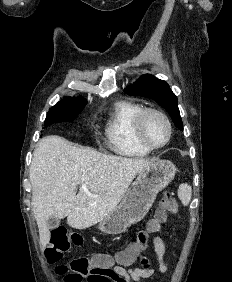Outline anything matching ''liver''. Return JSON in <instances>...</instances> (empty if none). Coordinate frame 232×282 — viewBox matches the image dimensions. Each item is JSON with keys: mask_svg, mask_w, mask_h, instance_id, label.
<instances>
[{"mask_svg": "<svg viewBox=\"0 0 232 282\" xmlns=\"http://www.w3.org/2000/svg\"><path fill=\"white\" fill-rule=\"evenodd\" d=\"M153 161L102 154L72 146L52 135L41 139L30 166L32 207L40 243L50 240L47 220L67 217V224L85 229L117 207L134 178ZM87 186L88 192L82 189ZM77 185H80L76 195Z\"/></svg>", "mask_w": 232, "mask_h": 282, "instance_id": "obj_1", "label": "liver"}]
</instances>
